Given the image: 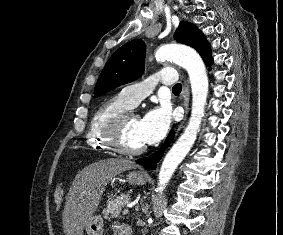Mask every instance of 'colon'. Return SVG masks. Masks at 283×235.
Listing matches in <instances>:
<instances>
[{
	"label": "colon",
	"mask_w": 283,
	"mask_h": 235,
	"mask_svg": "<svg viewBox=\"0 0 283 235\" xmlns=\"http://www.w3.org/2000/svg\"><path fill=\"white\" fill-rule=\"evenodd\" d=\"M64 198V188L62 185H58L54 191V203L57 207H59Z\"/></svg>",
	"instance_id": "obj_1"
}]
</instances>
